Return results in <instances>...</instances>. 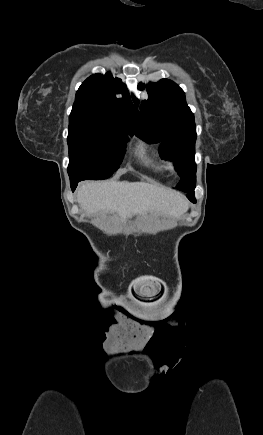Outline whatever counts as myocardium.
Here are the masks:
<instances>
[{"label": "myocardium", "mask_w": 263, "mask_h": 435, "mask_svg": "<svg viewBox=\"0 0 263 435\" xmlns=\"http://www.w3.org/2000/svg\"><path fill=\"white\" fill-rule=\"evenodd\" d=\"M170 167H174V163L173 162L170 163Z\"/></svg>", "instance_id": "myocardium-1"}]
</instances>
